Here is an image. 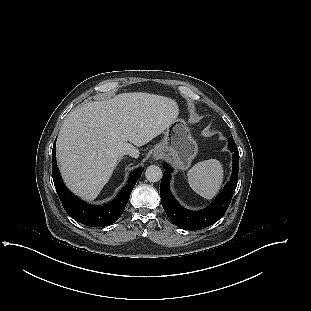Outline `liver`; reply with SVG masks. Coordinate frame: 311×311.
<instances>
[{"instance_id":"1","label":"liver","mask_w":311,"mask_h":311,"mask_svg":"<svg viewBox=\"0 0 311 311\" xmlns=\"http://www.w3.org/2000/svg\"><path fill=\"white\" fill-rule=\"evenodd\" d=\"M179 108L168 97L122 93L88 102L68 114L57 144V161L68 188L92 201L109 181L118 158H138L143 146L177 120Z\"/></svg>"}]
</instances>
